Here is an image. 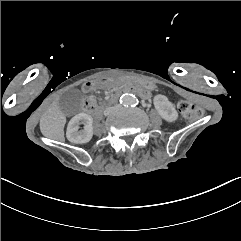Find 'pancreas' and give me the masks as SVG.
<instances>
[{
	"instance_id": "pancreas-1",
	"label": "pancreas",
	"mask_w": 241,
	"mask_h": 241,
	"mask_svg": "<svg viewBox=\"0 0 241 241\" xmlns=\"http://www.w3.org/2000/svg\"><path fill=\"white\" fill-rule=\"evenodd\" d=\"M89 99H90V100H93L94 98H93V97H90ZM102 107L104 108V106H102Z\"/></svg>"
}]
</instances>
